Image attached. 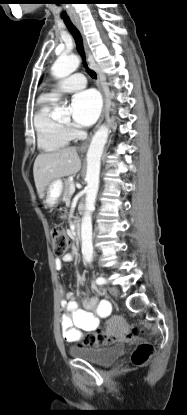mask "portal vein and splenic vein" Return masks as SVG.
<instances>
[{
    "label": "portal vein and splenic vein",
    "mask_w": 187,
    "mask_h": 415,
    "mask_svg": "<svg viewBox=\"0 0 187 415\" xmlns=\"http://www.w3.org/2000/svg\"><path fill=\"white\" fill-rule=\"evenodd\" d=\"M75 192V185L74 183H72V185L70 186V194L72 195Z\"/></svg>",
    "instance_id": "18ae733b"
}]
</instances>
